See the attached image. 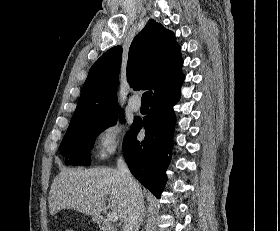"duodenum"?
I'll use <instances>...</instances> for the list:
<instances>
[{
	"instance_id": "1",
	"label": "duodenum",
	"mask_w": 280,
	"mask_h": 231,
	"mask_svg": "<svg viewBox=\"0 0 280 231\" xmlns=\"http://www.w3.org/2000/svg\"><path fill=\"white\" fill-rule=\"evenodd\" d=\"M97 221L102 227L103 231H115V229L111 226L109 220L105 216H100Z\"/></svg>"
}]
</instances>
